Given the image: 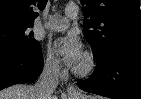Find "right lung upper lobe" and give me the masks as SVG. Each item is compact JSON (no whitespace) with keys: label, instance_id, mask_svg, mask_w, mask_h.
<instances>
[{"label":"right lung upper lobe","instance_id":"1","mask_svg":"<svg viewBox=\"0 0 141 99\" xmlns=\"http://www.w3.org/2000/svg\"><path fill=\"white\" fill-rule=\"evenodd\" d=\"M47 0H0V23L2 22H30L38 16L33 9H44Z\"/></svg>","mask_w":141,"mask_h":99}]
</instances>
